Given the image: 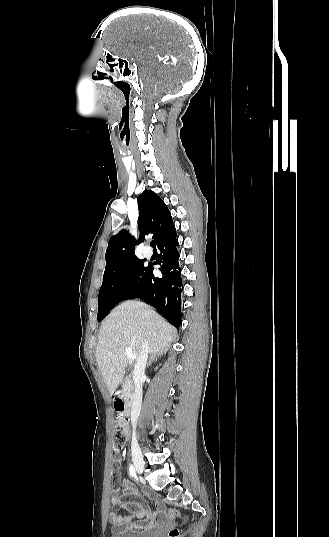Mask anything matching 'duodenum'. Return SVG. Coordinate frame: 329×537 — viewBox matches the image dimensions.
I'll use <instances>...</instances> for the list:
<instances>
[{"label": "duodenum", "mask_w": 329, "mask_h": 537, "mask_svg": "<svg viewBox=\"0 0 329 537\" xmlns=\"http://www.w3.org/2000/svg\"><path fill=\"white\" fill-rule=\"evenodd\" d=\"M114 406L123 417H129L132 412V402L126 398H116Z\"/></svg>", "instance_id": "1"}]
</instances>
